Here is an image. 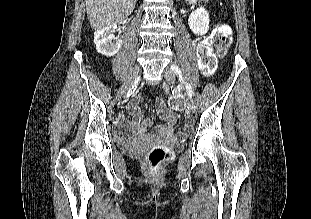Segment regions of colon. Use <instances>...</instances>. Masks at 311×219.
Instances as JSON below:
<instances>
[{
  "instance_id": "5ec220e1",
  "label": "colon",
  "mask_w": 311,
  "mask_h": 219,
  "mask_svg": "<svg viewBox=\"0 0 311 219\" xmlns=\"http://www.w3.org/2000/svg\"><path fill=\"white\" fill-rule=\"evenodd\" d=\"M208 43L213 44L215 48L214 53L210 51ZM231 43L232 31L230 27L226 24L218 25L209 36L207 42L201 43L197 48L198 61L203 69L208 73L212 72L215 67L217 57H224L227 54ZM169 103L174 108L179 106V103L175 98H170ZM168 114L171 115L175 113L168 112ZM125 130L126 127L122 125L120 132L124 133ZM171 156V149L165 145H157L151 148L146 155L150 171H159Z\"/></svg>"
}]
</instances>
